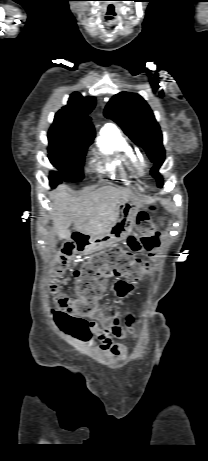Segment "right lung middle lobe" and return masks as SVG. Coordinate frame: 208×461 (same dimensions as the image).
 I'll use <instances>...</instances> for the list:
<instances>
[{"mask_svg": "<svg viewBox=\"0 0 208 461\" xmlns=\"http://www.w3.org/2000/svg\"><path fill=\"white\" fill-rule=\"evenodd\" d=\"M95 135L73 137L49 130V160L60 171L50 173V185L62 181L79 182L84 178V156Z\"/></svg>", "mask_w": 208, "mask_h": 461, "instance_id": "dd1d6c3e", "label": "right lung middle lobe"}]
</instances>
